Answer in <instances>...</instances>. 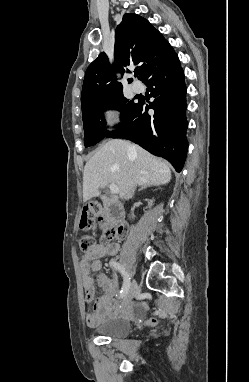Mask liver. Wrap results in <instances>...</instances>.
Segmentation results:
<instances>
[{
	"label": "liver",
	"instance_id": "obj_1",
	"mask_svg": "<svg viewBox=\"0 0 249 382\" xmlns=\"http://www.w3.org/2000/svg\"><path fill=\"white\" fill-rule=\"evenodd\" d=\"M171 180L167 162L161 161L138 145L113 139L105 142L87 161L83 173V200L100 195L101 189L114 183L120 198L135 185H164Z\"/></svg>",
	"mask_w": 249,
	"mask_h": 382
}]
</instances>
